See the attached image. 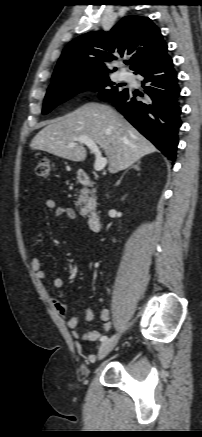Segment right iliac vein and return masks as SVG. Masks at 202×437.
Instances as JSON below:
<instances>
[{"instance_id":"63e3f726","label":"right iliac vein","mask_w":202,"mask_h":437,"mask_svg":"<svg viewBox=\"0 0 202 437\" xmlns=\"http://www.w3.org/2000/svg\"><path fill=\"white\" fill-rule=\"evenodd\" d=\"M118 340H119V335H114L110 339L104 341L99 347L97 359L101 360L104 357H106L116 346Z\"/></svg>"}]
</instances>
